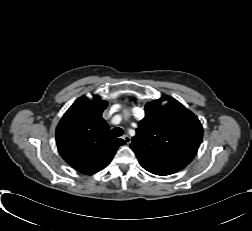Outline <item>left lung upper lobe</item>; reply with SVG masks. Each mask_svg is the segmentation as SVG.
I'll list each match as a JSON object with an SVG mask.
<instances>
[{"label": "left lung upper lobe", "mask_w": 252, "mask_h": 231, "mask_svg": "<svg viewBox=\"0 0 252 231\" xmlns=\"http://www.w3.org/2000/svg\"><path fill=\"white\" fill-rule=\"evenodd\" d=\"M168 104L154 100L145 105L130 145L138 160L172 161L189 164L202 142L203 128L198 118L180 102L166 97Z\"/></svg>", "instance_id": "obj_1"}]
</instances>
